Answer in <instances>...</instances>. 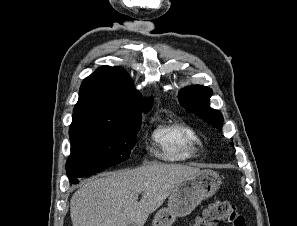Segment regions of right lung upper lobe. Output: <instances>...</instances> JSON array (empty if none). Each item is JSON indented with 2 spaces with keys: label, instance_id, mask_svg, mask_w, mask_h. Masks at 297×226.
I'll use <instances>...</instances> for the list:
<instances>
[{
  "label": "right lung upper lobe",
  "instance_id": "right-lung-upper-lobe-1",
  "mask_svg": "<svg viewBox=\"0 0 297 226\" xmlns=\"http://www.w3.org/2000/svg\"><path fill=\"white\" fill-rule=\"evenodd\" d=\"M143 102L124 69L102 66L83 80L72 123L118 124L125 109H143Z\"/></svg>",
  "mask_w": 297,
  "mask_h": 226
}]
</instances>
